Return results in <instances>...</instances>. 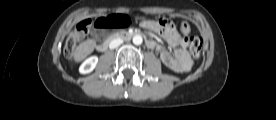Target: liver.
<instances>
[{"label": "liver", "mask_w": 276, "mask_h": 120, "mask_svg": "<svg viewBox=\"0 0 276 120\" xmlns=\"http://www.w3.org/2000/svg\"><path fill=\"white\" fill-rule=\"evenodd\" d=\"M95 47V42L93 40H87L81 43L73 53L74 60L76 62L83 60L88 54H90Z\"/></svg>", "instance_id": "6515ba94"}]
</instances>
